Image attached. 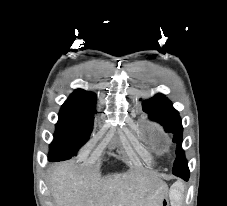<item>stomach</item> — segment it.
Returning a JSON list of instances; mask_svg holds the SVG:
<instances>
[{"mask_svg":"<svg viewBox=\"0 0 227 206\" xmlns=\"http://www.w3.org/2000/svg\"><path fill=\"white\" fill-rule=\"evenodd\" d=\"M168 197H161L160 201L163 202L161 206H169Z\"/></svg>","mask_w":227,"mask_h":206,"instance_id":"0dacf381","label":"stomach"}]
</instances>
